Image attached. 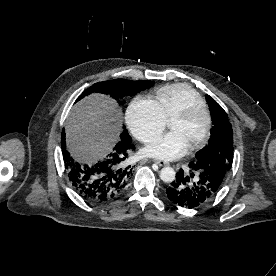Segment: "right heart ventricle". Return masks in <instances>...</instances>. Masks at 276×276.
Segmentation results:
<instances>
[{
  "label": "right heart ventricle",
  "instance_id": "obj_1",
  "mask_svg": "<svg viewBox=\"0 0 276 276\" xmlns=\"http://www.w3.org/2000/svg\"><path fill=\"white\" fill-rule=\"evenodd\" d=\"M154 99L166 121L171 120L190 105L206 106L204 99L196 90L182 83L165 85L156 89Z\"/></svg>",
  "mask_w": 276,
  "mask_h": 276
}]
</instances>
